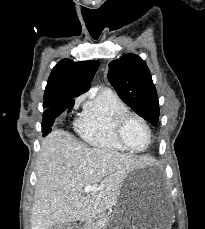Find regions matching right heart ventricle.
<instances>
[{"mask_svg":"<svg viewBox=\"0 0 205 229\" xmlns=\"http://www.w3.org/2000/svg\"><path fill=\"white\" fill-rule=\"evenodd\" d=\"M129 111L112 90L102 89L90 96L76 128L81 138L93 147L110 151H127L116 136L118 117Z\"/></svg>","mask_w":205,"mask_h":229,"instance_id":"1","label":"right heart ventricle"}]
</instances>
